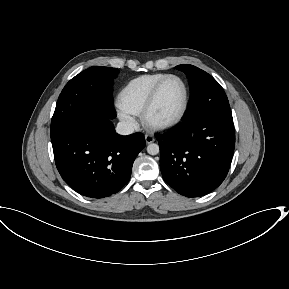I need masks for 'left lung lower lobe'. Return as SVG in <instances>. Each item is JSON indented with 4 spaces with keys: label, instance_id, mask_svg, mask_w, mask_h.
Returning a JSON list of instances; mask_svg holds the SVG:
<instances>
[{
    "label": "left lung lower lobe",
    "instance_id": "0a47b994",
    "mask_svg": "<svg viewBox=\"0 0 289 289\" xmlns=\"http://www.w3.org/2000/svg\"><path fill=\"white\" fill-rule=\"evenodd\" d=\"M156 138L163 179L181 195H206L227 176L235 148L231 119L198 116Z\"/></svg>",
    "mask_w": 289,
    "mask_h": 289
}]
</instances>
